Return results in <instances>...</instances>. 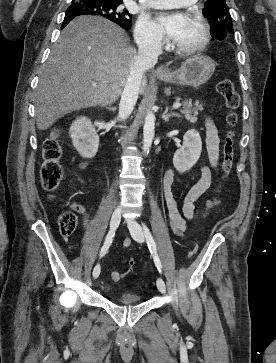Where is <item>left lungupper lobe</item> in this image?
Here are the masks:
<instances>
[{"label": "left lung upper lobe", "instance_id": "1", "mask_svg": "<svg viewBox=\"0 0 276 363\" xmlns=\"http://www.w3.org/2000/svg\"><path fill=\"white\" fill-rule=\"evenodd\" d=\"M226 0H207L203 15L209 20L211 34L218 40L234 33L232 18Z\"/></svg>", "mask_w": 276, "mask_h": 363}]
</instances>
